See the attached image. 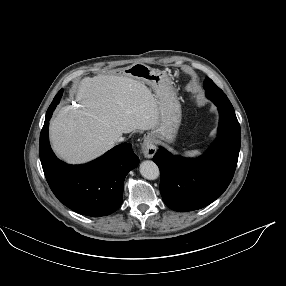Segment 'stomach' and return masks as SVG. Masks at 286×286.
<instances>
[{"mask_svg":"<svg viewBox=\"0 0 286 286\" xmlns=\"http://www.w3.org/2000/svg\"><path fill=\"white\" fill-rule=\"evenodd\" d=\"M123 75L147 84L154 91L160 118L148 137L152 141H174L181 122V106L168 75L143 63H135L123 69Z\"/></svg>","mask_w":286,"mask_h":286,"instance_id":"stomach-1","label":"stomach"}]
</instances>
